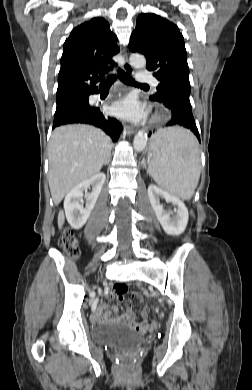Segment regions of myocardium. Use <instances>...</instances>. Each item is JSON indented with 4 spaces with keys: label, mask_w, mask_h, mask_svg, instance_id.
Wrapping results in <instances>:
<instances>
[{
    "label": "myocardium",
    "mask_w": 252,
    "mask_h": 390,
    "mask_svg": "<svg viewBox=\"0 0 252 390\" xmlns=\"http://www.w3.org/2000/svg\"><path fill=\"white\" fill-rule=\"evenodd\" d=\"M163 113L160 111H156L152 116V122L157 123L163 118Z\"/></svg>",
    "instance_id": "1"
}]
</instances>
